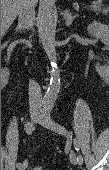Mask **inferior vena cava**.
Masks as SVG:
<instances>
[{
  "mask_svg": "<svg viewBox=\"0 0 109 170\" xmlns=\"http://www.w3.org/2000/svg\"><path fill=\"white\" fill-rule=\"evenodd\" d=\"M33 0H21L18 19L19 29H30L34 25L35 10ZM29 102L31 108H41L43 99L40 85L34 81H29Z\"/></svg>",
  "mask_w": 109,
  "mask_h": 170,
  "instance_id": "obj_1",
  "label": "inferior vena cava"
}]
</instances>
